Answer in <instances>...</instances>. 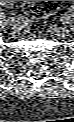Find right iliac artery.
<instances>
[{
  "instance_id": "right-iliac-artery-1",
  "label": "right iliac artery",
  "mask_w": 74,
  "mask_h": 122,
  "mask_svg": "<svg viewBox=\"0 0 74 122\" xmlns=\"http://www.w3.org/2000/svg\"><path fill=\"white\" fill-rule=\"evenodd\" d=\"M17 22L18 21L13 17L10 19V24H17Z\"/></svg>"
}]
</instances>
